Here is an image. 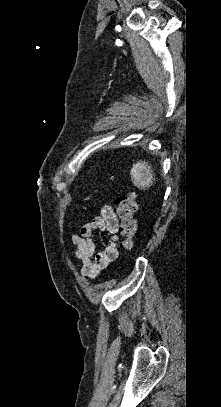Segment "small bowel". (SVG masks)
<instances>
[{"instance_id":"small-bowel-1","label":"small bowel","mask_w":221,"mask_h":407,"mask_svg":"<svg viewBox=\"0 0 221 407\" xmlns=\"http://www.w3.org/2000/svg\"><path fill=\"white\" fill-rule=\"evenodd\" d=\"M118 224L119 220L113 208L104 205L99 215L84 224H79L78 233L71 236V248L81 262L83 277L96 278L117 257ZM95 231L110 235V240L105 244L103 251H96L93 241Z\"/></svg>"}]
</instances>
